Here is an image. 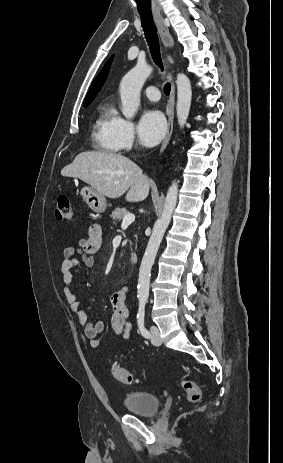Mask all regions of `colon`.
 <instances>
[{
  "instance_id": "5ec220e1",
  "label": "colon",
  "mask_w": 283,
  "mask_h": 463,
  "mask_svg": "<svg viewBox=\"0 0 283 463\" xmlns=\"http://www.w3.org/2000/svg\"><path fill=\"white\" fill-rule=\"evenodd\" d=\"M55 214L59 221H71L73 219V209L69 197L60 196L58 198ZM112 375L120 383L127 385L135 383L133 375L121 366H113ZM181 387L188 402L196 403L200 400L201 390L195 382L190 379L183 378L181 380Z\"/></svg>"
}]
</instances>
